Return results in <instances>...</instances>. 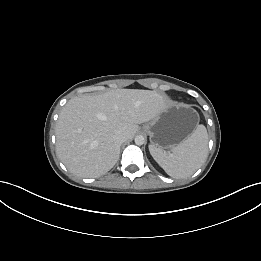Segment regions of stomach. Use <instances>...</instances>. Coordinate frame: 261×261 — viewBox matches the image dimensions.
<instances>
[{"label":"stomach","instance_id":"1","mask_svg":"<svg viewBox=\"0 0 261 261\" xmlns=\"http://www.w3.org/2000/svg\"><path fill=\"white\" fill-rule=\"evenodd\" d=\"M199 114L187 105L170 103L144 125L151 144L162 150L172 149L186 140L197 128Z\"/></svg>","mask_w":261,"mask_h":261}]
</instances>
